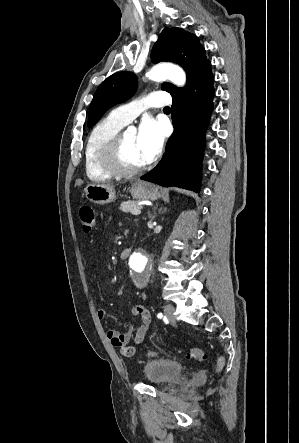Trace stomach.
I'll return each instance as SVG.
<instances>
[{
    "instance_id": "1",
    "label": "stomach",
    "mask_w": 299,
    "mask_h": 443,
    "mask_svg": "<svg viewBox=\"0 0 299 443\" xmlns=\"http://www.w3.org/2000/svg\"><path fill=\"white\" fill-rule=\"evenodd\" d=\"M84 191L88 200L100 205L111 203L116 198L114 187L111 185L91 183ZM130 192L132 197L138 200H156L160 197L158 188L145 182L132 184Z\"/></svg>"
}]
</instances>
